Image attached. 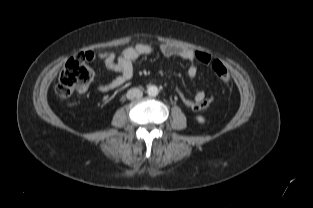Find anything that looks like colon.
<instances>
[{
    "label": "colon",
    "mask_w": 313,
    "mask_h": 208,
    "mask_svg": "<svg viewBox=\"0 0 313 208\" xmlns=\"http://www.w3.org/2000/svg\"><path fill=\"white\" fill-rule=\"evenodd\" d=\"M92 57L93 55L87 52L73 56L68 60L59 75L55 89L59 99H67L74 91H82L89 85L94 76L92 68L88 65V61L92 60ZM195 57L202 64H210L217 78L223 84L230 82V74L220 60H212L209 54L199 51L195 52ZM179 94L183 102L194 110L204 109L212 102V97H207L202 102L197 103L186 98L182 93Z\"/></svg>",
    "instance_id": "colon-1"
}]
</instances>
